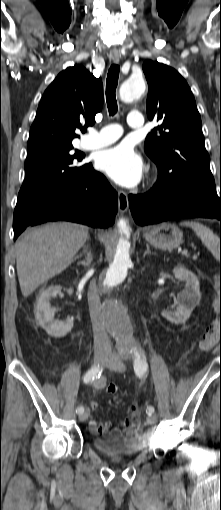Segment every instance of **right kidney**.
Listing matches in <instances>:
<instances>
[{
	"mask_svg": "<svg viewBox=\"0 0 221 510\" xmlns=\"http://www.w3.org/2000/svg\"><path fill=\"white\" fill-rule=\"evenodd\" d=\"M61 286H50L40 291L35 305V317L42 328L51 336L60 338L73 328V319L64 321L54 319L56 308L51 307L50 299L61 292Z\"/></svg>",
	"mask_w": 221,
	"mask_h": 510,
	"instance_id": "obj_1",
	"label": "right kidney"
}]
</instances>
